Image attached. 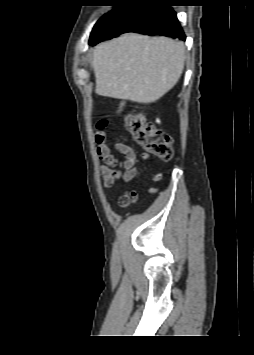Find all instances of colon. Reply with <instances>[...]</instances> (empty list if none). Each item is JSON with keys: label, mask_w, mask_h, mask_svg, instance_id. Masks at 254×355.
Listing matches in <instances>:
<instances>
[{"label": "colon", "mask_w": 254, "mask_h": 355, "mask_svg": "<svg viewBox=\"0 0 254 355\" xmlns=\"http://www.w3.org/2000/svg\"><path fill=\"white\" fill-rule=\"evenodd\" d=\"M123 121L133 141L142 146L147 157H155L162 161H170L173 158L171 137L155 124L146 122L143 117L130 112L124 113ZM105 126V121L98 123L100 128Z\"/></svg>", "instance_id": "1"}]
</instances>
